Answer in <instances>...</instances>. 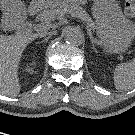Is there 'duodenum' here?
Instances as JSON below:
<instances>
[{
	"label": "duodenum",
	"instance_id": "410a0bca",
	"mask_svg": "<svg viewBox=\"0 0 135 135\" xmlns=\"http://www.w3.org/2000/svg\"><path fill=\"white\" fill-rule=\"evenodd\" d=\"M5 27L10 31L14 32L17 35H24L29 32L32 27L30 21H23L19 23H14L12 20H7L5 22Z\"/></svg>",
	"mask_w": 135,
	"mask_h": 135
}]
</instances>
